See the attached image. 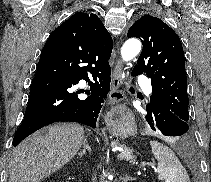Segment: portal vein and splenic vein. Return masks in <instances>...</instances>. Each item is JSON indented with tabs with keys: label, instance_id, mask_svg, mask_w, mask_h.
<instances>
[{
	"label": "portal vein and splenic vein",
	"instance_id": "obj_1",
	"mask_svg": "<svg viewBox=\"0 0 211 182\" xmlns=\"http://www.w3.org/2000/svg\"><path fill=\"white\" fill-rule=\"evenodd\" d=\"M113 151H117V150H121V149H117V148H113ZM160 180H162V178H159Z\"/></svg>",
	"mask_w": 211,
	"mask_h": 182
}]
</instances>
